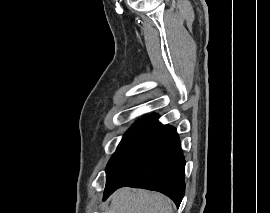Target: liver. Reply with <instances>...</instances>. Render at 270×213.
Here are the masks:
<instances>
[{
  "instance_id": "obj_1",
  "label": "liver",
  "mask_w": 270,
  "mask_h": 213,
  "mask_svg": "<svg viewBox=\"0 0 270 213\" xmlns=\"http://www.w3.org/2000/svg\"><path fill=\"white\" fill-rule=\"evenodd\" d=\"M115 213H173L172 202L162 194L122 188L111 196Z\"/></svg>"
}]
</instances>
